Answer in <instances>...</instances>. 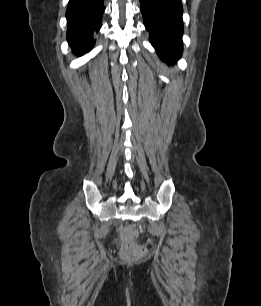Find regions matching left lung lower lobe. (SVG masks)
<instances>
[{
  "label": "left lung lower lobe",
  "instance_id": "obj_1",
  "mask_svg": "<svg viewBox=\"0 0 261 306\" xmlns=\"http://www.w3.org/2000/svg\"><path fill=\"white\" fill-rule=\"evenodd\" d=\"M144 25L162 60L175 63L182 54L181 0H140Z\"/></svg>",
  "mask_w": 261,
  "mask_h": 306
}]
</instances>
